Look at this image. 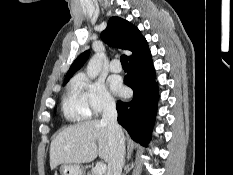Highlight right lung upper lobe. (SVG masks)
<instances>
[{"instance_id": "obj_1", "label": "right lung upper lobe", "mask_w": 233, "mask_h": 175, "mask_svg": "<svg viewBox=\"0 0 233 175\" xmlns=\"http://www.w3.org/2000/svg\"><path fill=\"white\" fill-rule=\"evenodd\" d=\"M101 38L110 46L131 51L132 55L129 57V61L143 55L149 50L147 41L137 27L119 17H111L109 19L107 28L102 32ZM88 56L89 51H85L77 57L71 65L65 80H69L80 69Z\"/></svg>"}]
</instances>
